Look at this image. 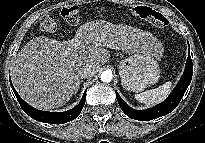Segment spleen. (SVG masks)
Masks as SVG:
<instances>
[{
  "mask_svg": "<svg viewBox=\"0 0 205 143\" xmlns=\"http://www.w3.org/2000/svg\"><path fill=\"white\" fill-rule=\"evenodd\" d=\"M171 87L172 82L169 81L155 89L136 94L135 98L137 101L147 106H154L161 103L168 97L171 92Z\"/></svg>",
  "mask_w": 205,
  "mask_h": 143,
  "instance_id": "1",
  "label": "spleen"
}]
</instances>
